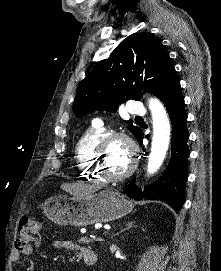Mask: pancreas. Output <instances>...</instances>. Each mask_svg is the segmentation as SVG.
<instances>
[{
	"mask_svg": "<svg viewBox=\"0 0 221 271\" xmlns=\"http://www.w3.org/2000/svg\"><path fill=\"white\" fill-rule=\"evenodd\" d=\"M78 242L81 244H97V239H89L88 237H78Z\"/></svg>",
	"mask_w": 221,
	"mask_h": 271,
	"instance_id": "cf45deb5",
	"label": "pancreas"
}]
</instances>
